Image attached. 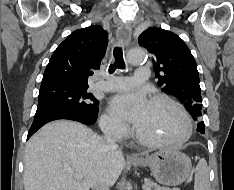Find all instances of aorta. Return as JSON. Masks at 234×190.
<instances>
[{"label": "aorta", "mask_w": 234, "mask_h": 190, "mask_svg": "<svg viewBox=\"0 0 234 190\" xmlns=\"http://www.w3.org/2000/svg\"><path fill=\"white\" fill-rule=\"evenodd\" d=\"M127 57L130 64H141L146 59V52L143 48H132L129 50Z\"/></svg>", "instance_id": "762f6f07"}]
</instances>
